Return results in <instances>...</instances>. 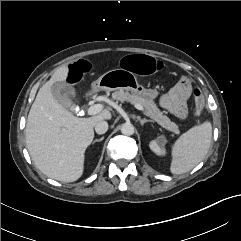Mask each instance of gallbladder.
Here are the masks:
<instances>
[{
	"mask_svg": "<svg viewBox=\"0 0 241 241\" xmlns=\"http://www.w3.org/2000/svg\"><path fill=\"white\" fill-rule=\"evenodd\" d=\"M73 92V89L67 88L62 83H54L51 87V93L53 97L64 107L71 108L72 101L70 94Z\"/></svg>",
	"mask_w": 241,
	"mask_h": 241,
	"instance_id": "bac80fb5",
	"label": "gallbladder"
}]
</instances>
